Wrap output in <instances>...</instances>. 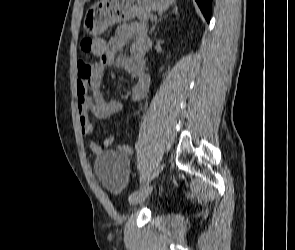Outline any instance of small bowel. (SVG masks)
Instances as JSON below:
<instances>
[{
    "label": "small bowel",
    "mask_w": 295,
    "mask_h": 250,
    "mask_svg": "<svg viewBox=\"0 0 295 250\" xmlns=\"http://www.w3.org/2000/svg\"><path fill=\"white\" fill-rule=\"evenodd\" d=\"M130 39H133L130 55H119V51ZM150 44L145 27L123 24L117 28L115 35L108 41L102 39L100 49L92 53L100 58L98 63L78 61L76 91L82 134L90 135L93 131L90 115L100 120H108L122 109V104L118 100H106L100 92L102 75L106 69L121 68L130 75L133 82L131 96L134 101H141L146 97L150 87V77L145 70V52L149 49ZM113 143L114 137L112 136L104 140L106 147ZM88 145L93 154H99L102 151V147L94 141H89ZM119 150L125 155L132 154L129 146H121Z\"/></svg>",
    "instance_id": "small-bowel-1"
}]
</instances>
